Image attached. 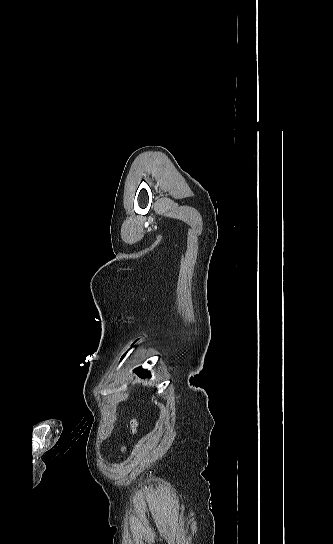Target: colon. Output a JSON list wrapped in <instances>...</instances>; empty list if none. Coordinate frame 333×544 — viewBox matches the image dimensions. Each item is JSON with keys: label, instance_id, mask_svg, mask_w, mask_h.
<instances>
[{"label": "colon", "instance_id": "5ec220e1", "mask_svg": "<svg viewBox=\"0 0 333 544\" xmlns=\"http://www.w3.org/2000/svg\"><path fill=\"white\" fill-rule=\"evenodd\" d=\"M137 427H138V422H137V420H136L135 418H132V419L130 420V432H131L132 435L136 434V432H137ZM124 451H125V447H123V448L121 449V452H122V453H123Z\"/></svg>", "mask_w": 333, "mask_h": 544}]
</instances>
